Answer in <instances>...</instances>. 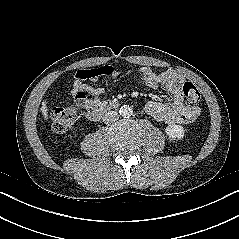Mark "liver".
<instances>
[{"label":"liver","mask_w":239,"mask_h":239,"mask_svg":"<svg viewBox=\"0 0 239 239\" xmlns=\"http://www.w3.org/2000/svg\"><path fill=\"white\" fill-rule=\"evenodd\" d=\"M41 112L43 114V118L45 120H47L48 119V109H47V105L45 102L42 103Z\"/></svg>","instance_id":"obj_1"}]
</instances>
